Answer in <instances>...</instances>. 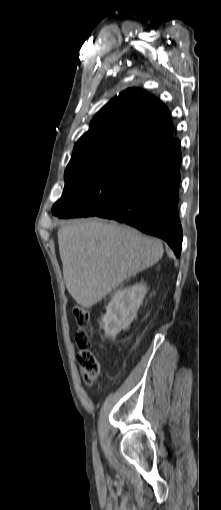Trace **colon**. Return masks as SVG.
<instances>
[{"label":"colon","instance_id":"colon-1","mask_svg":"<svg viewBox=\"0 0 221 510\" xmlns=\"http://www.w3.org/2000/svg\"><path fill=\"white\" fill-rule=\"evenodd\" d=\"M73 313L80 330L76 333L78 348L77 360L80 366L81 377L85 384L91 385L101 372V364L94 353L90 334L85 330L91 319V310L87 306L75 305Z\"/></svg>","mask_w":221,"mask_h":510}]
</instances>
